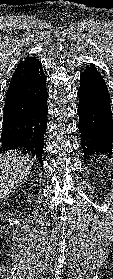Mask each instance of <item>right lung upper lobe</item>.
<instances>
[{
    "mask_svg": "<svg viewBox=\"0 0 113 279\" xmlns=\"http://www.w3.org/2000/svg\"><path fill=\"white\" fill-rule=\"evenodd\" d=\"M40 63L41 62L35 57H27L24 61H20L10 80L9 89L26 78Z\"/></svg>",
    "mask_w": 113,
    "mask_h": 279,
    "instance_id": "1",
    "label": "right lung upper lobe"
}]
</instances>
